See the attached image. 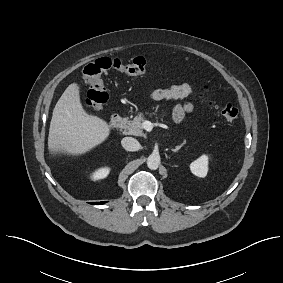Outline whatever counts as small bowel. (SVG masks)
Returning a JSON list of instances; mask_svg holds the SVG:
<instances>
[{
	"label": "small bowel",
	"instance_id": "obj_1",
	"mask_svg": "<svg viewBox=\"0 0 283 283\" xmlns=\"http://www.w3.org/2000/svg\"><path fill=\"white\" fill-rule=\"evenodd\" d=\"M193 94L192 88L188 84L173 85L169 88L155 89L150 93V98L154 101L181 99ZM194 106L191 102H185L177 105L172 113V119L175 123H180L187 113H191Z\"/></svg>",
	"mask_w": 283,
	"mask_h": 283
}]
</instances>
